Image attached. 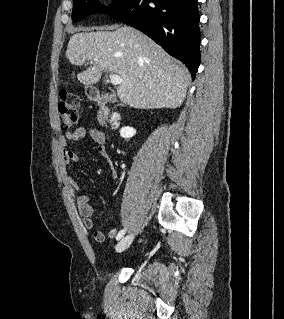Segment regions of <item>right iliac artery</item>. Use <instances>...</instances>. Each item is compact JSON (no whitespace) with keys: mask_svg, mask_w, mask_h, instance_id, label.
Returning <instances> with one entry per match:
<instances>
[{"mask_svg":"<svg viewBox=\"0 0 284 319\" xmlns=\"http://www.w3.org/2000/svg\"><path fill=\"white\" fill-rule=\"evenodd\" d=\"M125 231H126L125 229L120 230L116 236V240H120L124 236Z\"/></svg>","mask_w":284,"mask_h":319,"instance_id":"right-iliac-artery-1","label":"right iliac artery"}]
</instances>
